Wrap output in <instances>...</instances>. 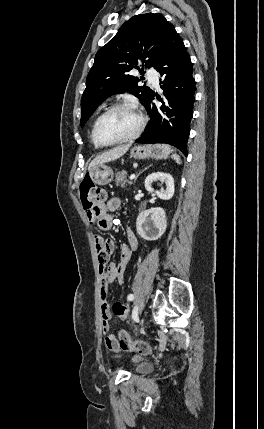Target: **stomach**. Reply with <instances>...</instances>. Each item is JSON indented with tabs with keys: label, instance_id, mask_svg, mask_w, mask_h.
Wrapping results in <instances>:
<instances>
[{
	"label": "stomach",
	"instance_id": "stomach-1",
	"mask_svg": "<svg viewBox=\"0 0 264 429\" xmlns=\"http://www.w3.org/2000/svg\"><path fill=\"white\" fill-rule=\"evenodd\" d=\"M171 152L170 146L166 144L155 145H137L131 149V156L135 159H165ZM88 175L93 183L98 185L108 184L113 179V170L110 166L103 163L96 165L89 170Z\"/></svg>",
	"mask_w": 264,
	"mask_h": 429
}]
</instances>
